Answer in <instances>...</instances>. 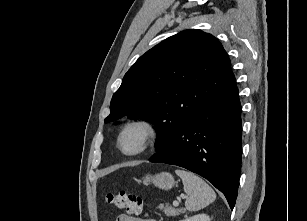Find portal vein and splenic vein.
<instances>
[{"instance_id": "1", "label": "portal vein and splenic vein", "mask_w": 307, "mask_h": 221, "mask_svg": "<svg viewBox=\"0 0 307 221\" xmlns=\"http://www.w3.org/2000/svg\"><path fill=\"white\" fill-rule=\"evenodd\" d=\"M179 205V202L178 201H174L173 202V206L177 207Z\"/></svg>"}]
</instances>
